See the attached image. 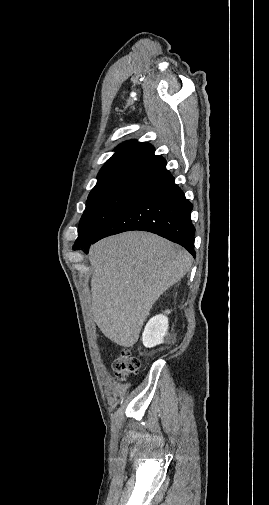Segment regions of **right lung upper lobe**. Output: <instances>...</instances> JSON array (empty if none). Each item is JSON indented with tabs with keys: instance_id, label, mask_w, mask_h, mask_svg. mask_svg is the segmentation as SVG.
Instances as JSON below:
<instances>
[{
	"instance_id": "1",
	"label": "right lung upper lobe",
	"mask_w": 269,
	"mask_h": 505,
	"mask_svg": "<svg viewBox=\"0 0 269 505\" xmlns=\"http://www.w3.org/2000/svg\"><path fill=\"white\" fill-rule=\"evenodd\" d=\"M146 142L127 141L115 149L98 173L94 188L123 186L140 189L166 170V160Z\"/></svg>"
}]
</instances>
